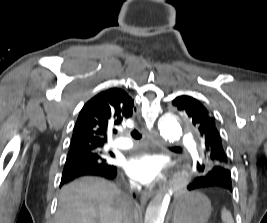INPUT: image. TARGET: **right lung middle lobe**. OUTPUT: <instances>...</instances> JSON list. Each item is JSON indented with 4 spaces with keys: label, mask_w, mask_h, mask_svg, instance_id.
Here are the masks:
<instances>
[{
    "label": "right lung middle lobe",
    "mask_w": 267,
    "mask_h": 223,
    "mask_svg": "<svg viewBox=\"0 0 267 223\" xmlns=\"http://www.w3.org/2000/svg\"><path fill=\"white\" fill-rule=\"evenodd\" d=\"M113 156L97 146H83L70 150L66 159L63 173L81 172L89 169H105L114 167L108 159Z\"/></svg>",
    "instance_id": "dd1d6c3e"
}]
</instances>
